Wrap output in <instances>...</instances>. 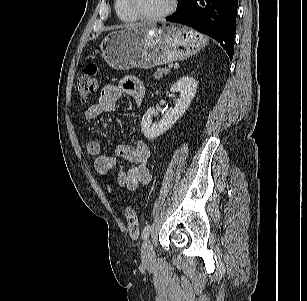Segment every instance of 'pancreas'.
<instances>
[{
    "mask_svg": "<svg viewBox=\"0 0 307 301\" xmlns=\"http://www.w3.org/2000/svg\"><path fill=\"white\" fill-rule=\"evenodd\" d=\"M170 72V69L164 68V69H157V71H155L154 73V77L156 79H160L163 77L164 74H167Z\"/></svg>",
    "mask_w": 307,
    "mask_h": 301,
    "instance_id": "pancreas-1",
    "label": "pancreas"
}]
</instances>
